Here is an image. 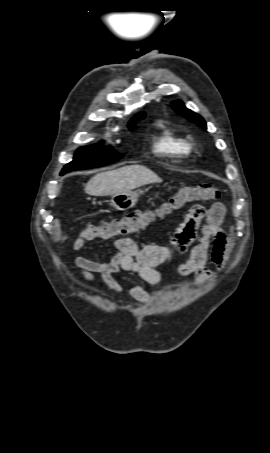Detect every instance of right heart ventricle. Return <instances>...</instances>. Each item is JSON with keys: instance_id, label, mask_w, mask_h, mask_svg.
Here are the masks:
<instances>
[{"instance_id": "1", "label": "right heart ventricle", "mask_w": 270, "mask_h": 453, "mask_svg": "<svg viewBox=\"0 0 270 453\" xmlns=\"http://www.w3.org/2000/svg\"><path fill=\"white\" fill-rule=\"evenodd\" d=\"M153 148L156 153L173 159L182 158L191 152L190 142L164 124L161 125V132L155 139Z\"/></svg>"}]
</instances>
